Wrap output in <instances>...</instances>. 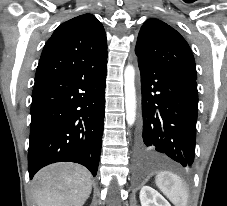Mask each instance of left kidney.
Masks as SVG:
<instances>
[{
	"label": "left kidney",
	"instance_id": "1",
	"mask_svg": "<svg viewBox=\"0 0 227 206\" xmlns=\"http://www.w3.org/2000/svg\"><path fill=\"white\" fill-rule=\"evenodd\" d=\"M140 202L141 206H171L160 193L149 186L141 188Z\"/></svg>",
	"mask_w": 227,
	"mask_h": 206
}]
</instances>
